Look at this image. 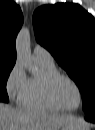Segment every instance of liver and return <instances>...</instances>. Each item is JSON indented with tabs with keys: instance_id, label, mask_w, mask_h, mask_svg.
<instances>
[{
	"instance_id": "6515ba94",
	"label": "liver",
	"mask_w": 95,
	"mask_h": 130,
	"mask_svg": "<svg viewBox=\"0 0 95 130\" xmlns=\"http://www.w3.org/2000/svg\"><path fill=\"white\" fill-rule=\"evenodd\" d=\"M75 120L68 114L0 106V130H59L62 125ZM83 128L89 129L87 125Z\"/></svg>"
}]
</instances>
